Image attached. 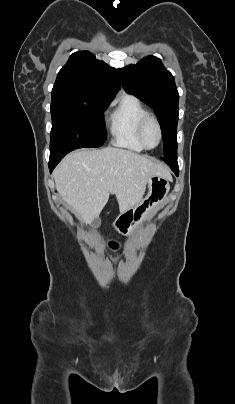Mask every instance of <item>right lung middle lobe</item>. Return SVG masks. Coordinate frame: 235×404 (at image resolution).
<instances>
[{
    "label": "right lung middle lobe",
    "instance_id": "right-lung-middle-lobe-1",
    "mask_svg": "<svg viewBox=\"0 0 235 404\" xmlns=\"http://www.w3.org/2000/svg\"><path fill=\"white\" fill-rule=\"evenodd\" d=\"M109 102L52 92L50 149L103 145L107 138L103 112Z\"/></svg>",
    "mask_w": 235,
    "mask_h": 404
}]
</instances>
